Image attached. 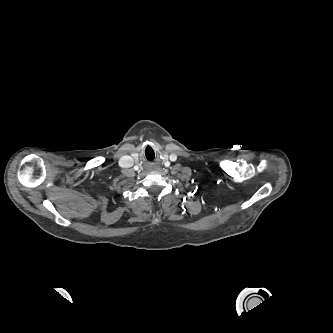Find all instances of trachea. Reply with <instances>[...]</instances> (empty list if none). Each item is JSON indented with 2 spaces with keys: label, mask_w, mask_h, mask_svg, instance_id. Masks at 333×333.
<instances>
[{
  "label": "trachea",
  "mask_w": 333,
  "mask_h": 333,
  "mask_svg": "<svg viewBox=\"0 0 333 333\" xmlns=\"http://www.w3.org/2000/svg\"><path fill=\"white\" fill-rule=\"evenodd\" d=\"M154 157H155V154H154V152H153V153H152V159H151V160L148 159V160L152 161V160L154 159Z\"/></svg>",
  "instance_id": "1"
}]
</instances>
